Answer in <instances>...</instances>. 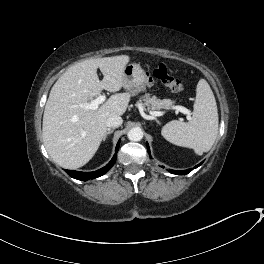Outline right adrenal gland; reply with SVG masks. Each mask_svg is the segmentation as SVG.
<instances>
[{
	"mask_svg": "<svg viewBox=\"0 0 264 264\" xmlns=\"http://www.w3.org/2000/svg\"><path fill=\"white\" fill-rule=\"evenodd\" d=\"M113 131H114L113 129H108V131L105 133V136H104V138H103V141H105L106 138H107V136H108L109 134H112Z\"/></svg>",
	"mask_w": 264,
	"mask_h": 264,
	"instance_id": "2a0ac1e0",
	"label": "right adrenal gland"
}]
</instances>
